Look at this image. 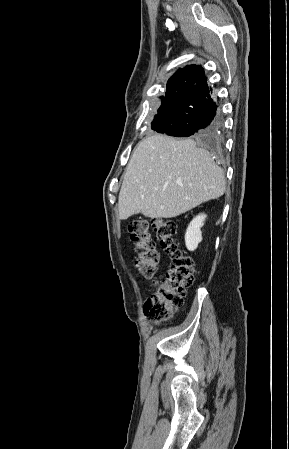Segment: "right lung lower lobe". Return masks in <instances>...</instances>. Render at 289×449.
Here are the masks:
<instances>
[{
	"mask_svg": "<svg viewBox=\"0 0 289 449\" xmlns=\"http://www.w3.org/2000/svg\"><path fill=\"white\" fill-rule=\"evenodd\" d=\"M206 79L181 77L167 90L172 111L170 125L161 133L176 137H209L221 130L222 120Z\"/></svg>",
	"mask_w": 289,
	"mask_h": 449,
	"instance_id": "1",
	"label": "right lung lower lobe"
}]
</instances>
